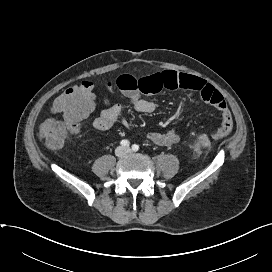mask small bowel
<instances>
[{"instance_id": "1", "label": "small bowel", "mask_w": 272, "mask_h": 272, "mask_svg": "<svg viewBox=\"0 0 272 272\" xmlns=\"http://www.w3.org/2000/svg\"><path fill=\"white\" fill-rule=\"evenodd\" d=\"M115 85L129 98L131 105L136 111L145 114L153 113L156 109V104L142 98V94H155L165 89H187L193 91L205 103L214 106L221 113V126L213 133V137L223 138L232 130V116L224 97L214 86L199 77L172 70L153 73L139 78L131 74H122L117 77ZM118 121L128 126L127 121L122 118L121 104L115 101H108L94 118L93 126L98 130H108ZM147 137L154 144L163 147H170L180 140V135L176 129L167 132H150Z\"/></svg>"}]
</instances>
